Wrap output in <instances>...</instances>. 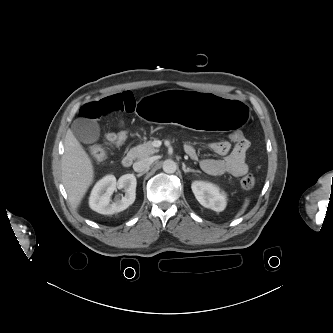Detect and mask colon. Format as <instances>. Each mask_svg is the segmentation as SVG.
<instances>
[{
    "label": "colon",
    "mask_w": 333,
    "mask_h": 333,
    "mask_svg": "<svg viewBox=\"0 0 333 333\" xmlns=\"http://www.w3.org/2000/svg\"><path fill=\"white\" fill-rule=\"evenodd\" d=\"M128 138V132L121 130L114 134L113 144L119 146L125 143ZM229 138L234 143H239L245 140V135L240 130H233L229 134ZM91 157L96 161H104L107 158V150L99 145L92 146L89 150ZM241 185L245 189H252L255 186V177L252 174H247L241 179Z\"/></svg>",
    "instance_id": "obj_1"
}]
</instances>
